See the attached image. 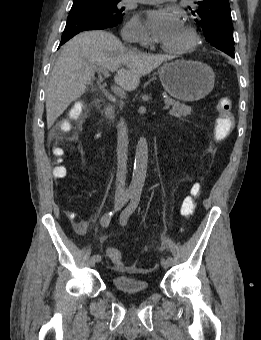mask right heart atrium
Listing matches in <instances>:
<instances>
[{
  "mask_svg": "<svg viewBox=\"0 0 261 340\" xmlns=\"http://www.w3.org/2000/svg\"><path fill=\"white\" fill-rule=\"evenodd\" d=\"M122 35L127 39H134L142 45H147L150 41L143 23L137 16L132 17L126 23Z\"/></svg>",
  "mask_w": 261,
  "mask_h": 340,
  "instance_id": "1",
  "label": "right heart atrium"
}]
</instances>
